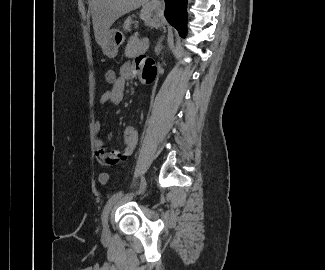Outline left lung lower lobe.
I'll return each mask as SVG.
<instances>
[{
	"instance_id": "0a47b994",
	"label": "left lung lower lobe",
	"mask_w": 325,
	"mask_h": 270,
	"mask_svg": "<svg viewBox=\"0 0 325 270\" xmlns=\"http://www.w3.org/2000/svg\"><path fill=\"white\" fill-rule=\"evenodd\" d=\"M165 17L174 26L181 36L186 34V6L187 0H165Z\"/></svg>"
}]
</instances>
